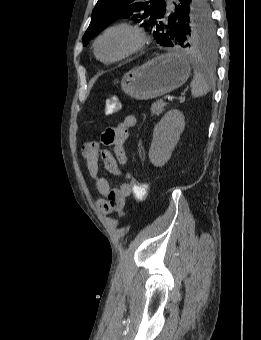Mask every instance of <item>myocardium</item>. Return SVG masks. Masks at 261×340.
<instances>
[{"label":"myocardium","instance_id":"myocardium-1","mask_svg":"<svg viewBox=\"0 0 261 340\" xmlns=\"http://www.w3.org/2000/svg\"><path fill=\"white\" fill-rule=\"evenodd\" d=\"M117 29H124V30L130 31L131 33H133L134 36H135V43L125 53H123L119 56H116L114 58H111V59H104L100 56L99 51H98L100 41L109 32L117 30ZM147 41H148L147 34H146L145 30L140 25L133 23V22H129V21H122V22H118L116 24L110 25L109 27H107L106 29H104L101 32V34L96 38V40L94 42V53L100 61H102L104 63H114V62H118V61H121L123 59H126V58L132 56L133 54L137 53L138 51H140L146 45Z\"/></svg>","mask_w":261,"mask_h":340}]
</instances>
